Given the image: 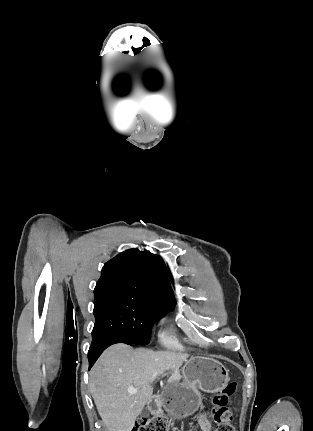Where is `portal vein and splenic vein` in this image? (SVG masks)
<instances>
[{
	"instance_id": "18ae733b",
	"label": "portal vein and splenic vein",
	"mask_w": 313,
	"mask_h": 431,
	"mask_svg": "<svg viewBox=\"0 0 313 431\" xmlns=\"http://www.w3.org/2000/svg\"><path fill=\"white\" fill-rule=\"evenodd\" d=\"M127 391H128L130 394H136V393L139 391V389H137V388H133V387H129V388L127 389Z\"/></svg>"
}]
</instances>
